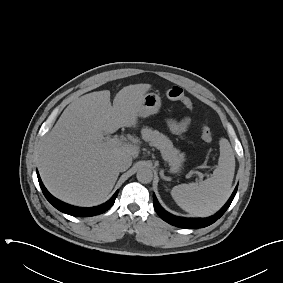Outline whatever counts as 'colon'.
<instances>
[{
  "mask_svg": "<svg viewBox=\"0 0 283 283\" xmlns=\"http://www.w3.org/2000/svg\"><path fill=\"white\" fill-rule=\"evenodd\" d=\"M166 97L170 100H175L181 102L188 109H193V104L189 97L186 96L183 89L177 86L171 87L166 91ZM201 137L206 142H211L213 139V133L211 129L203 125L201 129Z\"/></svg>",
  "mask_w": 283,
  "mask_h": 283,
  "instance_id": "5ec220e1",
  "label": "colon"
}]
</instances>
